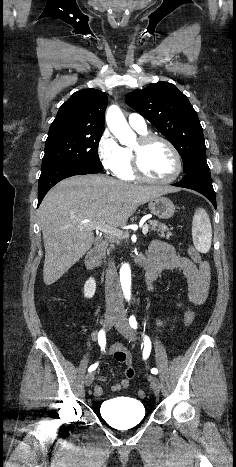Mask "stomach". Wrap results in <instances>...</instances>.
Returning a JSON list of instances; mask_svg holds the SVG:
<instances>
[{
	"mask_svg": "<svg viewBox=\"0 0 236 467\" xmlns=\"http://www.w3.org/2000/svg\"><path fill=\"white\" fill-rule=\"evenodd\" d=\"M148 208L159 219H169L175 213L173 202L169 198L162 196L151 199L148 203Z\"/></svg>",
	"mask_w": 236,
	"mask_h": 467,
	"instance_id": "stomach-1",
	"label": "stomach"
}]
</instances>
